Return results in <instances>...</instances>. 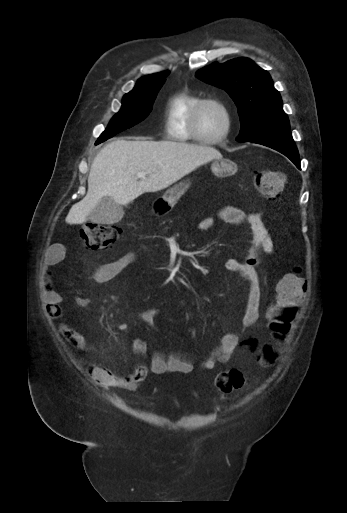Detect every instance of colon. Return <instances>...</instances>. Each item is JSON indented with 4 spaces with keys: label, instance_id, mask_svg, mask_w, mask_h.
<instances>
[{
    "label": "colon",
    "instance_id": "1",
    "mask_svg": "<svg viewBox=\"0 0 347 513\" xmlns=\"http://www.w3.org/2000/svg\"><path fill=\"white\" fill-rule=\"evenodd\" d=\"M252 180L259 193L267 199L280 197L285 178L279 170L253 171ZM122 230L117 226L87 223L80 230V236L90 249H104L114 245ZM307 289V281L299 268L284 275L276 287L275 301L269 309L268 328L276 340L283 339L290 330L297 309ZM278 345L274 340H263L257 347V358L264 372L275 368L278 358ZM215 385L219 393L229 395L232 391L248 385V379L238 370H230L217 375Z\"/></svg>",
    "mask_w": 347,
    "mask_h": 513
}]
</instances>
